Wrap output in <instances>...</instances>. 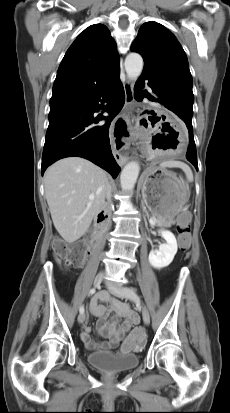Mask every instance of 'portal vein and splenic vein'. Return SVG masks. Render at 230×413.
Listing matches in <instances>:
<instances>
[{"label": "portal vein and splenic vein", "instance_id": "obj_1", "mask_svg": "<svg viewBox=\"0 0 230 413\" xmlns=\"http://www.w3.org/2000/svg\"><path fill=\"white\" fill-rule=\"evenodd\" d=\"M89 198L92 199L93 196H90ZM154 222H155V221H154L153 219L150 220V223H154Z\"/></svg>", "mask_w": 230, "mask_h": 413}]
</instances>
